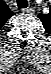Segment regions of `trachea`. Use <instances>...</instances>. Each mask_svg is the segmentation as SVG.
I'll return each instance as SVG.
<instances>
[{
  "mask_svg": "<svg viewBox=\"0 0 51 74\" xmlns=\"http://www.w3.org/2000/svg\"><path fill=\"white\" fill-rule=\"evenodd\" d=\"M17 6L18 8H27L28 7V2L26 0H18L17 1Z\"/></svg>",
  "mask_w": 51,
  "mask_h": 74,
  "instance_id": "trachea-1",
  "label": "trachea"
}]
</instances>
